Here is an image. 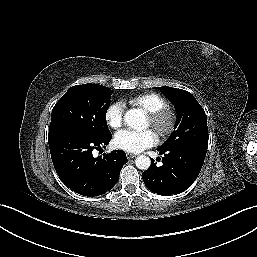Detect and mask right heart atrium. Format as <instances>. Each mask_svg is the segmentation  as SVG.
I'll use <instances>...</instances> for the list:
<instances>
[{"label": "right heart atrium", "instance_id": "right-heart-atrium-1", "mask_svg": "<svg viewBox=\"0 0 257 257\" xmlns=\"http://www.w3.org/2000/svg\"><path fill=\"white\" fill-rule=\"evenodd\" d=\"M125 108L122 102L111 103L105 111V121L113 130H119L124 123Z\"/></svg>", "mask_w": 257, "mask_h": 257}]
</instances>
